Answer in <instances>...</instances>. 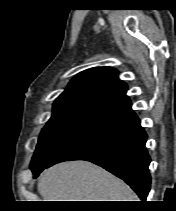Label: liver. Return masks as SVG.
Instances as JSON below:
<instances>
[{"mask_svg":"<svg viewBox=\"0 0 176 211\" xmlns=\"http://www.w3.org/2000/svg\"><path fill=\"white\" fill-rule=\"evenodd\" d=\"M37 188L44 201H138L122 180L87 161L64 162L45 170Z\"/></svg>","mask_w":176,"mask_h":211,"instance_id":"obj_1","label":"liver"}]
</instances>
